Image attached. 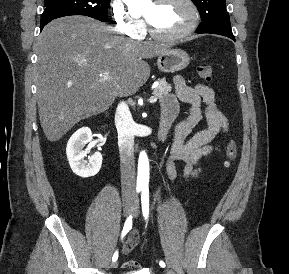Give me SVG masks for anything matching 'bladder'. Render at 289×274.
Listing matches in <instances>:
<instances>
[{
	"instance_id": "31cf9c89",
	"label": "bladder",
	"mask_w": 289,
	"mask_h": 274,
	"mask_svg": "<svg viewBox=\"0 0 289 274\" xmlns=\"http://www.w3.org/2000/svg\"><path fill=\"white\" fill-rule=\"evenodd\" d=\"M122 274H146V273H144L142 271H137V272H124Z\"/></svg>"
}]
</instances>
